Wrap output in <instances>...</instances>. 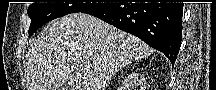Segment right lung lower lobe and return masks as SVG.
I'll use <instances>...</instances> for the list:
<instances>
[{
  "label": "right lung lower lobe",
  "instance_id": "98d812e1",
  "mask_svg": "<svg viewBox=\"0 0 216 90\" xmlns=\"http://www.w3.org/2000/svg\"><path fill=\"white\" fill-rule=\"evenodd\" d=\"M84 13L137 36L174 64L181 46L183 3H106Z\"/></svg>",
  "mask_w": 216,
  "mask_h": 90
}]
</instances>
